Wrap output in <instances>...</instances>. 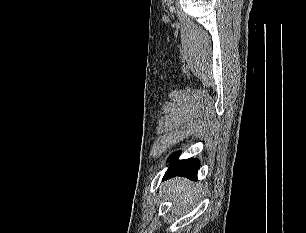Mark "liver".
Wrapping results in <instances>:
<instances>
[{
	"label": "liver",
	"mask_w": 306,
	"mask_h": 233,
	"mask_svg": "<svg viewBox=\"0 0 306 233\" xmlns=\"http://www.w3.org/2000/svg\"><path fill=\"white\" fill-rule=\"evenodd\" d=\"M166 187L167 193L171 192V197L180 208H185L198 197L196 186L183 178L169 180Z\"/></svg>",
	"instance_id": "1"
}]
</instances>
